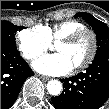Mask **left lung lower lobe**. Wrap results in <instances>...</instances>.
<instances>
[{
	"instance_id": "0a47b994",
	"label": "left lung lower lobe",
	"mask_w": 109,
	"mask_h": 109,
	"mask_svg": "<svg viewBox=\"0 0 109 109\" xmlns=\"http://www.w3.org/2000/svg\"><path fill=\"white\" fill-rule=\"evenodd\" d=\"M61 82L62 94L52 97L56 109H99L109 98V51L96 54L85 72ZM75 90H80L77 97H71Z\"/></svg>"
}]
</instances>
